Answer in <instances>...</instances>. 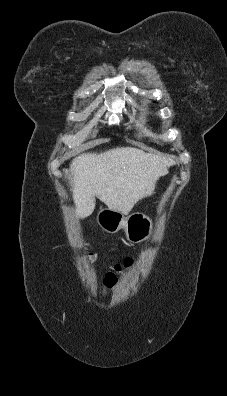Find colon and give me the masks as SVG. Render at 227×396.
Returning a JSON list of instances; mask_svg holds the SVG:
<instances>
[{"instance_id":"colon-1","label":"colon","mask_w":227,"mask_h":396,"mask_svg":"<svg viewBox=\"0 0 227 396\" xmlns=\"http://www.w3.org/2000/svg\"><path fill=\"white\" fill-rule=\"evenodd\" d=\"M89 258H92V254H89ZM132 265L130 258L124 260L122 263L116 264L112 271H109L105 276V286L112 288L118 281L119 274Z\"/></svg>"}]
</instances>
